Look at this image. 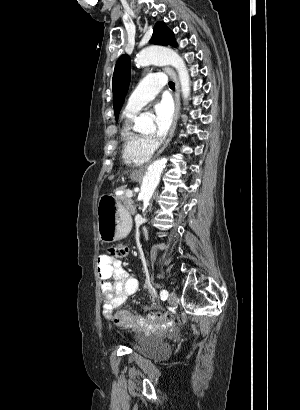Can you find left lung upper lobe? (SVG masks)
<instances>
[{"mask_svg":"<svg viewBox=\"0 0 300 410\" xmlns=\"http://www.w3.org/2000/svg\"><path fill=\"white\" fill-rule=\"evenodd\" d=\"M150 43L156 45H171L176 47L177 43L174 38V33L166 26L163 22H157ZM130 58L128 55L124 54L119 57L112 79L113 87V104H114V114L115 118H118V114L123 105L125 96L130 83Z\"/></svg>","mask_w":300,"mask_h":410,"instance_id":"obj_1","label":"left lung upper lobe"}]
</instances>
